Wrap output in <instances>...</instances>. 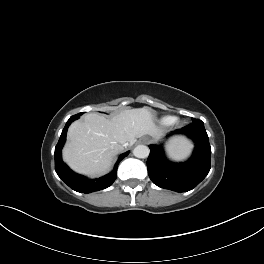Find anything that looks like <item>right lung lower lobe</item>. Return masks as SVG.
Returning a JSON list of instances; mask_svg holds the SVG:
<instances>
[{
  "label": "right lung lower lobe",
  "mask_w": 264,
  "mask_h": 264,
  "mask_svg": "<svg viewBox=\"0 0 264 264\" xmlns=\"http://www.w3.org/2000/svg\"><path fill=\"white\" fill-rule=\"evenodd\" d=\"M81 113L71 116L67 121L58 144L55 147V171L58 176L73 190L82 193H91L94 191H99L108 188L113 184L117 178V168L119 162L129 154V151L120 155L115 167L111 173L98 178V179H88L82 175L74 173L69 169L62 161L61 150L66 140V133L69 125L76 119L80 117Z\"/></svg>",
  "instance_id": "right-lung-lower-lobe-1"
}]
</instances>
